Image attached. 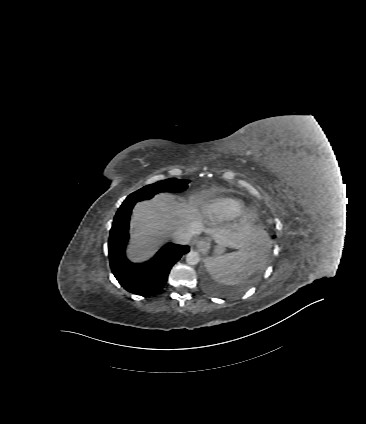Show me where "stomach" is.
<instances>
[{"label": "stomach", "mask_w": 366, "mask_h": 424, "mask_svg": "<svg viewBox=\"0 0 366 424\" xmlns=\"http://www.w3.org/2000/svg\"><path fill=\"white\" fill-rule=\"evenodd\" d=\"M244 249V248H243ZM224 251V246H222V245H219L217 248H216V253H222Z\"/></svg>", "instance_id": "1"}]
</instances>
